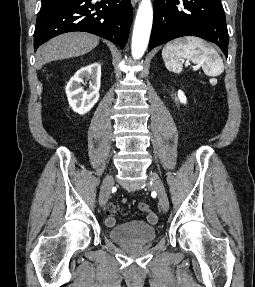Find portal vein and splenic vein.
<instances>
[{
    "label": "portal vein and splenic vein",
    "mask_w": 255,
    "mask_h": 287,
    "mask_svg": "<svg viewBox=\"0 0 255 287\" xmlns=\"http://www.w3.org/2000/svg\"><path fill=\"white\" fill-rule=\"evenodd\" d=\"M185 66H189V64H185Z\"/></svg>",
    "instance_id": "portal-vein-and-splenic-vein-1"
}]
</instances>
